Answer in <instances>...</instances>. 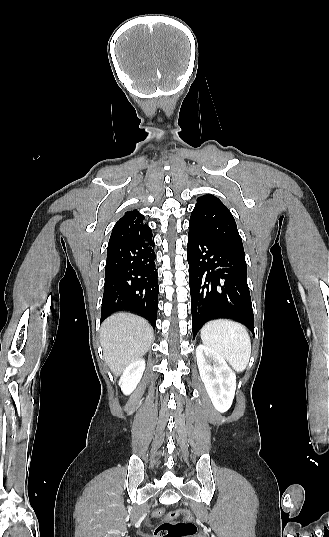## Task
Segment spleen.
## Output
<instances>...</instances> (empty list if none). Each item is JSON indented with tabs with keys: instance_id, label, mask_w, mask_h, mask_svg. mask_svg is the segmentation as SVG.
<instances>
[{
	"instance_id": "spleen-1",
	"label": "spleen",
	"mask_w": 329,
	"mask_h": 537,
	"mask_svg": "<svg viewBox=\"0 0 329 537\" xmlns=\"http://www.w3.org/2000/svg\"><path fill=\"white\" fill-rule=\"evenodd\" d=\"M204 345L220 353L237 372L245 370L251 355V340L246 328L236 321L216 319L201 329Z\"/></svg>"
}]
</instances>
